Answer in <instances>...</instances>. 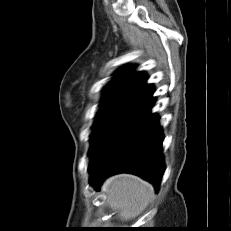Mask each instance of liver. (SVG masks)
<instances>
[{"label": "liver", "mask_w": 231, "mask_h": 231, "mask_svg": "<svg viewBox=\"0 0 231 231\" xmlns=\"http://www.w3.org/2000/svg\"><path fill=\"white\" fill-rule=\"evenodd\" d=\"M107 204L118 213L121 221L139 216L154 196L151 184L130 174H119L108 178L103 186Z\"/></svg>", "instance_id": "liver-1"}]
</instances>
